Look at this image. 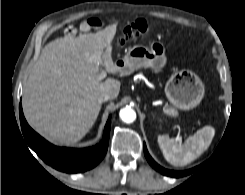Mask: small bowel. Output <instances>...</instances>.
<instances>
[{"label": "small bowel", "instance_id": "1", "mask_svg": "<svg viewBox=\"0 0 245 195\" xmlns=\"http://www.w3.org/2000/svg\"><path fill=\"white\" fill-rule=\"evenodd\" d=\"M103 25L102 21L99 18L96 17H89L85 20H83L79 27H76L74 25H69L65 28V35L68 37L75 36L78 31L87 32L90 30L98 29Z\"/></svg>", "mask_w": 245, "mask_h": 195}]
</instances>
